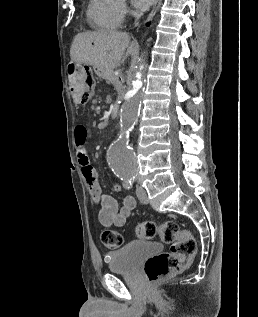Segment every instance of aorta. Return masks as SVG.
I'll use <instances>...</instances> for the list:
<instances>
[{"instance_id": "1", "label": "aorta", "mask_w": 258, "mask_h": 317, "mask_svg": "<svg viewBox=\"0 0 258 317\" xmlns=\"http://www.w3.org/2000/svg\"><path fill=\"white\" fill-rule=\"evenodd\" d=\"M143 66H140V70ZM141 72L136 73L132 89L126 93V101L120 112V134L109 150V164L113 172L121 179H133L138 173V159L129 144L130 133L139 116L141 97L139 91L143 85Z\"/></svg>"}]
</instances>
